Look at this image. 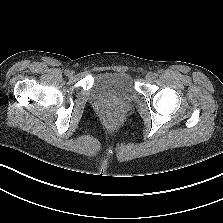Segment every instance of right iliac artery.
I'll list each match as a JSON object with an SVG mask.
<instances>
[{"label": "right iliac artery", "instance_id": "obj_1", "mask_svg": "<svg viewBox=\"0 0 223 223\" xmlns=\"http://www.w3.org/2000/svg\"><path fill=\"white\" fill-rule=\"evenodd\" d=\"M68 73H69V70H65V74L68 75Z\"/></svg>", "mask_w": 223, "mask_h": 223}]
</instances>
